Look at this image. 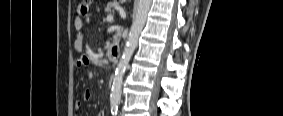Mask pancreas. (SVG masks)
Masks as SVG:
<instances>
[{
	"label": "pancreas",
	"instance_id": "obj_1",
	"mask_svg": "<svg viewBox=\"0 0 283 116\" xmlns=\"http://www.w3.org/2000/svg\"><path fill=\"white\" fill-rule=\"evenodd\" d=\"M118 5L117 1H112L110 3L107 4L106 8H105V12L107 14H111V12L114 10V7Z\"/></svg>",
	"mask_w": 283,
	"mask_h": 116
}]
</instances>
